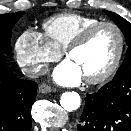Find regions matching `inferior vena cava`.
Returning <instances> with one entry per match:
<instances>
[{
  "label": "inferior vena cava",
  "instance_id": "1",
  "mask_svg": "<svg viewBox=\"0 0 131 131\" xmlns=\"http://www.w3.org/2000/svg\"><path fill=\"white\" fill-rule=\"evenodd\" d=\"M23 74L30 78H36L46 72V69L41 66H30L22 69Z\"/></svg>",
  "mask_w": 131,
  "mask_h": 131
}]
</instances>
